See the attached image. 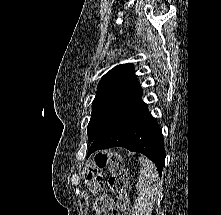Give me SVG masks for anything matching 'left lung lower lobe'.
Instances as JSON below:
<instances>
[{"instance_id": "obj_1", "label": "left lung lower lobe", "mask_w": 221, "mask_h": 215, "mask_svg": "<svg viewBox=\"0 0 221 215\" xmlns=\"http://www.w3.org/2000/svg\"><path fill=\"white\" fill-rule=\"evenodd\" d=\"M116 146L144 154L155 163L161 176L165 164L162 133L141 99L92 141L87 157L99 149Z\"/></svg>"}]
</instances>
